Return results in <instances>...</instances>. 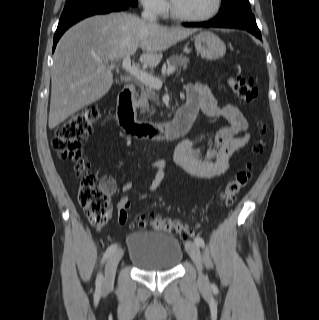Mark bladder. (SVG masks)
<instances>
[{
    "mask_svg": "<svg viewBox=\"0 0 319 320\" xmlns=\"http://www.w3.org/2000/svg\"><path fill=\"white\" fill-rule=\"evenodd\" d=\"M129 262L142 271H169L183 259V246L172 234L155 230L136 231L127 236Z\"/></svg>",
    "mask_w": 319,
    "mask_h": 320,
    "instance_id": "obj_1",
    "label": "bladder"
}]
</instances>
